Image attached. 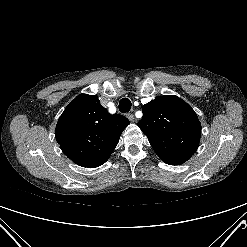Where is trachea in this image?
<instances>
[{"instance_id":"1","label":"trachea","mask_w":247,"mask_h":247,"mask_svg":"<svg viewBox=\"0 0 247 247\" xmlns=\"http://www.w3.org/2000/svg\"><path fill=\"white\" fill-rule=\"evenodd\" d=\"M131 109V101L128 98H122L119 102V110L122 113H128Z\"/></svg>"}]
</instances>
